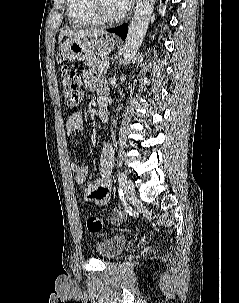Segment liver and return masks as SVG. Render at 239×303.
Returning <instances> with one entry per match:
<instances>
[{
  "instance_id": "6515ba94",
  "label": "liver",
  "mask_w": 239,
  "mask_h": 303,
  "mask_svg": "<svg viewBox=\"0 0 239 303\" xmlns=\"http://www.w3.org/2000/svg\"><path fill=\"white\" fill-rule=\"evenodd\" d=\"M106 34L103 30H97V29H89V30H64L60 33V37H68V40H76L80 38H86V37H98Z\"/></svg>"
}]
</instances>
